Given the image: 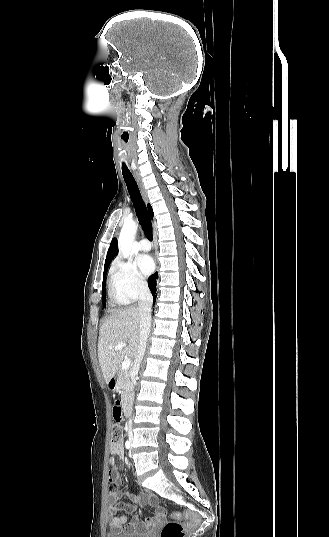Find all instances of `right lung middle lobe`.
<instances>
[{
	"label": "right lung middle lobe",
	"mask_w": 329,
	"mask_h": 537,
	"mask_svg": "<svg viewBox=\"0 0 329 537\" xmlns=\"http://www.w3.org/2000/svg\"><path fill=\"white\" fill-rule=\"evenodd\" d=\"M107 269H104V274H103V283H102V301L104 303H106V291H105V276H106V273H107Z\"/></svg>",
	"instance_id": "obj_1"
}]
</instances>
